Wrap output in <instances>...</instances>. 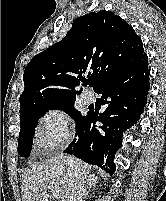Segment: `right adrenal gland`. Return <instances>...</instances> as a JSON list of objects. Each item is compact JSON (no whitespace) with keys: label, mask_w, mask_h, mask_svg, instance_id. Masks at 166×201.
Instances as JSON below:
<instances>
[{"label":"right adrenal gland","mask_w":166,"mask_h":201,"mask_svg":"<svg viewBox=\"0 0 166 201\" xmlns=\"http://www.w3.org/2000/svg\"><path fill=\"white\" fill-rule=\"evenodd\" d=\"M98 177L95 175H90L87 182H86V188L84 190V196L83 199H86L88 196V193L90 189L97 184Z\"/></svg>","instance_id":"obj_1"}]
</instances>
